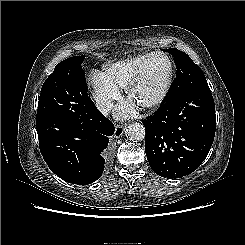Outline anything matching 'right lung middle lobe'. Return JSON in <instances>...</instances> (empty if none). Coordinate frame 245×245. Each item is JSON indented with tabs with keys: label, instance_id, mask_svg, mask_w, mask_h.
Wrapping results in <instances>:
<instances>
[{
	"label": "right lung middle lobe",
	"instance_id": "obj_1",
	"mask_svg": "<svg viewBox=\"0 0 245 245\" xmlns=\"http://www.w3.org/2000/svg\"><path fill=\"white\" fill-rule=\"evenodd\" d=\"M85 55L60 62L44 82L38 102L37 119L60 117L86 119L94 103L87 94L81 64Z\"/></svg>",
	"mask_w": 245,
	"mask_h": 245
}]
</instances>
